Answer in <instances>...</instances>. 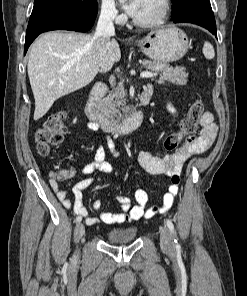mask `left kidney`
Wrapping results in <instances>:
<instances>
[{
  "mask_svg": "<svg viewBox=\"0 0 247 296\" xmlns=\"http://www.w3.org/2000/svg\"><path fill=\"white\" fill-rule=\"evenodd\" d=\"M167 109H168L172 114L176 113V110H175L171 105H168V106H167Z\"/></svg>",
  "mask_w": 247,
  "mask_h": 296,
  "instance_id": "1",
  "label": "left kidney"
}]
</instances>
